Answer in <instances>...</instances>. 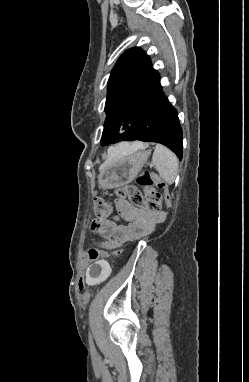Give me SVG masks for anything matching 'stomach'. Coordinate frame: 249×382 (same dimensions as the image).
I'll list each match as a JSON object with an SVG mask.
<instances>
[{
	"instance_id": "stomach-1",
	"label": "stomach",
	"mask_w": 249,
	"mask_h": 382,
	"mask_svg": "<svg viewBox=\"0 0 249 382\" xmlns=\"http://www.w3.org/2000/svg\"><path fill=\"white\" fill-rule=\"evenodd\" d=\"M150 154V150L143 148L113 158L108 165L100 169L99 187L111 189L130 183L142 170Z\"/></svg>"
}]
</instances>
